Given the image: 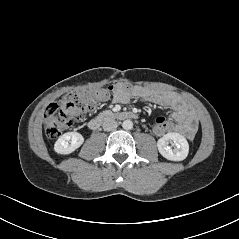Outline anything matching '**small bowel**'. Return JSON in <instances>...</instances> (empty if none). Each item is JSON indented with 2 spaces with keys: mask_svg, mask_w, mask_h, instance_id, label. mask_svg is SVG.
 I'll return each instance as SVG.
<instances>
[{
  "mask_svg": "<svg viewBox=\"0 0 239 239\" xmlns=\"http://www.w3.org/2000/svg\"><path fill=\"white\" fill-rule=\"evenodd\" d=\"M131 97H137L143 101L171 109L174 121L171 132H176L188 139L195 136L198 130V119L188 105L174 93L155 88L133 86L128 90L118 88L113 94L112 101L126 104Z\"/></svg>",
  "mask_w": 239,
  "mask_h": 239,
  "instance_id": "c3829d8e",
  "label": "small bowel"
}]
</instances>
